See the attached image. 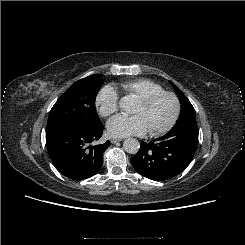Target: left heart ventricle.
<instances>
[{
  "label": "left heart ventricle",
  "instance_id": "b2bd125f",
  "mask_svg": "<svg viewBox=\"0 0 245 245\" xmlns=\"http://www.w3.org/2000/svg\"><path fill=\"white\" fill-rule=\"evenodd\" d=\"M174 110V100L165 96L148 106L136 102L132 108V114L141 117L148 131H155L163 128L170 121Z\"/></svg>",
  "mask_w": 245,
  "mask_h": 245
}]
</instances>
